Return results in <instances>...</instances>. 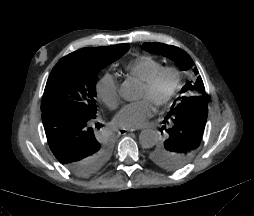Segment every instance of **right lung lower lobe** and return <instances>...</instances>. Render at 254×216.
Instances as JSON below:
<instances>
[{"label": "right lung lower lobe", "mask_w": 254, "mask_h": 216, "mask_svg": "<svg viewBox=\"0 0 254 216\" xmlns=\"http://www.w3.org/2000/svg\"><path fill=\"white\" fill-rule=\"evenodd\" d=\"M93 119L59 107L42 112L45 133L54 156L80 177L89 176V170L102 151V144L94 134Z\"/></svg>", "instance_id": "obj_1"}]
</instances>
